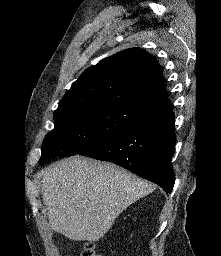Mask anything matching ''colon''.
Wrapping results in <instances>:
<instances>
[{"mask_svg":"<svg viewBox=\"0 0 221 256\" xmlns=\"http://www.w3.org/2000/svg\"><path fill=\"white\" fill-rule=\"evenodd\" d=\"M80 256H103L93 243H86Z\"/></svg>","mask_w":221,"mask_h":256,"instance_id":"colon-1","label":"colon"}]
</instances>
